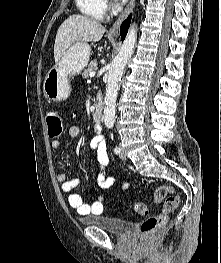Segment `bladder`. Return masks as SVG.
Listing matches in <instances>:
<instances>
[{
  "instance_id": "31cf9c89",
  "label": "bladder",
  "mask_w": 221,
  "mask_h": 263,
  "mask_svg": "<svg viewBox=\"0 0 221 263\" xmlns=\"http://www.w3.org/2000/svg\"><path fill=\"white\" fill-rule=\"evenodd\" d=\"M86 225L98 226L119 237H127L134 229L135 223L110 215L90 216L82 221Z\"/></svg>"
}]
</instances>
